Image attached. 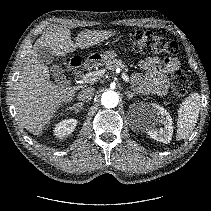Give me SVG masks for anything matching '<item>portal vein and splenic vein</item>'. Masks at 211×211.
I'll return each instance as SVG.
<instances>
[{"mask_svg": "<svg viewBox=\"0 0 211 211\" xmlns=\"http://www.w3.org/2000/svg\"><path fill=\"white\" fill-rule=\"evenodd\" d=\"M99 76H101V72H92V73H88L85 76H83V79L86 81H95ZM122 79L125 82H129V77L126 73H122Z\"/></svg>", "mask_w": 211, "mask_h": 211, "instance_id": "1", "label": "portal vein and splenic vein"}]
</instances>
